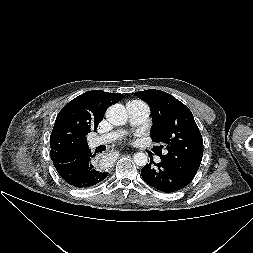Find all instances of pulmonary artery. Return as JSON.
<instances>
[{
    "instance_id": "e3ab8cb5",
    "label": "pulmonary artery",
    "mask_w": 253,
    "mask_h": 253,
    "mask_svg": "<svg viewBox=\"0 0 253 253\" xmlns=\"http://www.w3.org/2000/svg\"><path fill=\"white\" fill-rule=\"evenodd\" d=\"M126 107L129 114L130 124L133 126L141 125L149 117L150 109L144 102L137 100L129 101ZM122 134L123 131L118 130L105 135L96 136L90 140L89 146L90 148H96L99 145L109 144L120 138ZM156 161L159 162L160 158H156Z\"/></svg>"
}]
</instances>
